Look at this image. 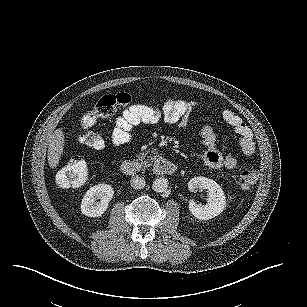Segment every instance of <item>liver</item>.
<instances>
[{"label": "liver", "mask_w": 307, "mask_h": 307, "mask_svg": "<svg viewBox=\"0 0 307 307\" xmlns=\"http://www.w3.org/2000/svg\"><path fill=\"white\" fill-rule=\"evenodd\" d=\"M64 148V134L62 129H57L51 135L48 145V164L51 168H56L61 159Z\"/></svg>", "instance_id": "liver-1"}]
</instances>
